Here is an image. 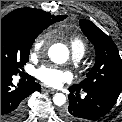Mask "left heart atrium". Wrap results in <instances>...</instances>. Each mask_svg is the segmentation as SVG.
Masks as SVG:
<instances>
[{
	"instance_id": "left-heart-atrium-1",
	"label": "left heart atrium",
	"mask_w": 122,
	"mask_h": 122,
	"mask_svg": "<svg viewBox=\"0 0 122 122\" xmlns=\"http://www.w3.org/2000/svg\"><path fill=\"white\" fill-rule=\"evenodd\" d=\"M37 77L50 87H60L63 83L70 81L72 78L70 72L49 65L39 68Z\"/></svg>"
}]
</instances>
